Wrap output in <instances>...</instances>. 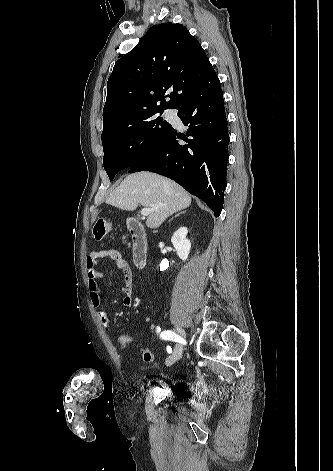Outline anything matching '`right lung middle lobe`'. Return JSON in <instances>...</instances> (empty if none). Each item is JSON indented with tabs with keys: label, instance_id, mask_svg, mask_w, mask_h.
Masks as SVG:
<instances>
[{
	"label": "right lung middle lobe",
	"instance_id": "obj_1",
	"mask_svg": "<svg viewBox=\"0 0 333 471\" xmlns=\"http://www.w3.org/2000/svg\"><path fill=\"white\" fill-rule=\"evenodd\" d=\"M163 110L152 109L110 125L102 132L103 165L110 181L117 172L130 168L149 152L172 128L162 117Z\"/></svg>",
	"mask_w": 333,
	"mask_h": 471
}]
</instances>
